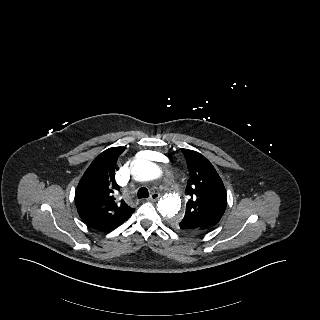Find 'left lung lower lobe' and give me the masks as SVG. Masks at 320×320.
I'll return each instance as SVG.
<instances>
[{
	"instance_id": "left-lung-lower-lobe-1",
	"label": "left lung lower lobe",
	"mask_w": 320,
	"mask_h": 320,
	"mask_svg": "<svg viewBox=\"0 0 320 320\" xmlns=\"http://www.w3.org/2000/svg\"><path fill=\"white\" fill-rule=\"evenodd\" d=\"M176 229L189 234H197V233L203 232L198 229H195L193 227V224H190L188 222H179Z\"/></svg>"
}]
</instances>
